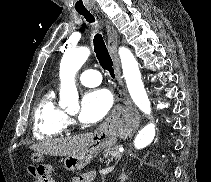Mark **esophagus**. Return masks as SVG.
<instances>
[{
    "mask_svg": "<svg viewBox=\"0 0 211 182\" xmlns=\"http://www.w3.org/2000/svg\"><path fill=\"white\" fill-rule=\"evenodd\" d=\"M106 33H107L108 49H109L110 55L113 59L116 77H117L119 85L122 87V89L119 90V92L117 93L116 99H117V101L123 102L126 105H130L131 104L130 99L126 94L125 89L123 88V81H122V75H121V70H120V61H119V57L117 54L118 36H117V33L114 30V28H112L107 23H106ZM115 110H116V107L113 109L111 114L108 116L105 123L100 127V129H99L100 131L105 130L109 126V124L112 120V117L115 114ZM136 113L138 114L137 110H136Z\"/></svg>",
    "mask_w": 211,
    "mask_h": 182,
    "instance_id": "esophagus-1",
    "label": "esophagus"
}]
</instances>
